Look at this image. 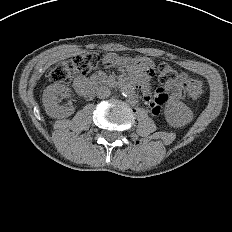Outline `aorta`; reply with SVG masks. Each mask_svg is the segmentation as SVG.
<instances>
[{
  "label": "aorta",
  "mask_w": 232,
  "mask_h": 232,
  "mask_svg": "<svg viewBox=\"0 0 232 232\" xmlns=\"http://www.w3.org/2000/svg\"><path fill=\"white\" fill-rule=\"evenodd\" d=\"M120 93L125 97H132L135 94V87L131 84H125L120 88Z\"/></svg>",
  "instance_id": "1"
}]
</instances>
